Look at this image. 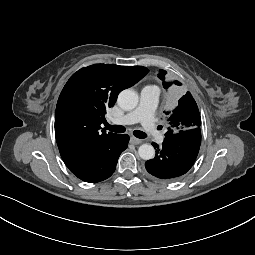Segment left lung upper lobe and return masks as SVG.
Segmentation results:
<instances>
[{"label": "left lung upper lobe", "mask_w": 255, "mask_h": 255, "mask_svg": "<svg viewBox=\"0 0 255 255\" xmlns=\"http://www.w3.org/2000/svg\"><path fill=\"white\" fill-rule=\"evenodd\" d=\"M166 73L167 72L165 70H160V74L158 76L163 81L164 88H169L170 90L178 93L174 104L170 107L169 111L165 112V114L168 116L169 122V127L165 133V137H169L189 129L200 127L201 118L197 104L191 93L187 92L181 94L178 88L175 86H180L181 83L178 81H169Z\"/></svg>", "instance_id": "5c2ea615"}]
</instances>
